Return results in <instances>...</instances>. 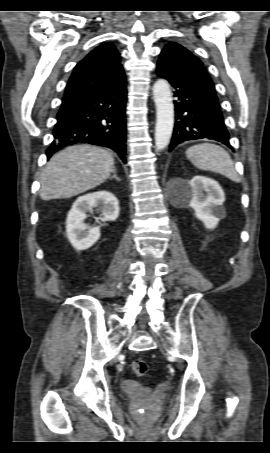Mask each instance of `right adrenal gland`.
I'll return each mask as SVG.
<instances>
[{
	"mask_svg": "<svg viewBox=\"0 0 270 453\" xmlns=\"http://www.w3.org/2000/svg\"><path fill=\"white\" fill-rule=\"evenodd\" d=\"M110 180L116 179L117 181H121L120 178L116 174V169L113 170V175L109 178Z\"/></svg>",
	"mask_w": 270,
	"mask_h": 453,
	"instance_id": "obj_1",
	"label": "right adrenal gland"
}]
</instances>
